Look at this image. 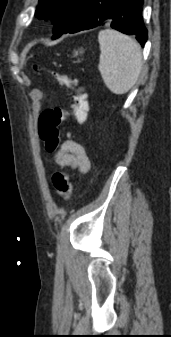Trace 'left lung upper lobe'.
<instances>
[{"label":"left lung upper lobe","mask_w":171,"mask_h":337,"mask_svg":"<svg viewBox=\"0 0 171 337\" xmlns=\"http://www.w3.org/2000/svg\"><path fill=\"white\" fill-rule=\"evenodd\" d=\"M85 0H39L35 16L51 19L54 24L53 39L67 33L76 23Z\"/></svg>","instance_id":"obj_1"}]
</instances>
